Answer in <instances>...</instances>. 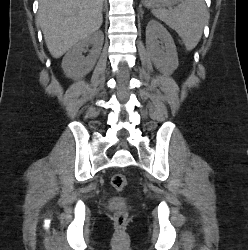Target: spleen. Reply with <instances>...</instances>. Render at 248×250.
<instances>
[{
	"instance_id": "3e777b00",
	"label": "spleen",
	"mask_w": 248,
	"mask_h": 250,
	"mask_svg": "<svg viewBox=\"0 0 248 250\" xmlns=\"http://www.w3.org/2000/svg\"><path fill=\"white\" fill-rule=\"evenodd\" d=\"M152 13L178 33L187 50L197 46L209 19L204 0H180L174 9H152Z\"/></svg>"
}]
</instances>
